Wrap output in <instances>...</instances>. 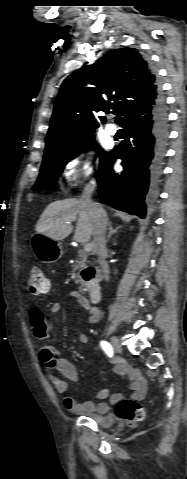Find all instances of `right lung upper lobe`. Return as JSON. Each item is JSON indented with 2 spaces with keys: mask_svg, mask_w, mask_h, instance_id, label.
<instances>
[{
  "mask_svg": "<svg viewBox=\"0 0 187 479\" xmlns=\"http://www.w3.org/2000/svg\"><path fill=\"white\" fill-rule=\"evenodd\" d=\"M161 94L155 72L135 48L105 54L94 64L70 74L62 83L55 102L46 150L70 145L99 127L98 120L118 108L117 122L138 107H146Z\"/></svg>",
  "mask_w": 187,
  "mask_h": 479,
  "instance_id": "right-lung-upper-lobe-1",
  "label": "right lung upper lobe"
}]
</instances>
